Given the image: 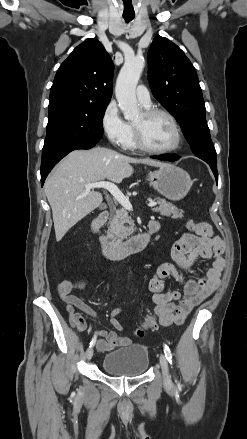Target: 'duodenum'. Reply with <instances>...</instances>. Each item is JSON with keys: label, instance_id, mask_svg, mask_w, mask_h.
<instances>
[{"label": "duodenum", "instance_id": "1", "mask_svg": "<svg viewBox=\"0 0 247 439\" xmlns=\"http://www.w3.org/2000/svg\"><path fill=\"white\" fill-rule=\"evenodd\" d=\"M107 218L108 212H103L97 216L91 223V231L97 236L103 254L111 259H120L143 250L149 244L153 233H155V227L149 223L143 232L134 235L125 242L114 243L101 232Z\"/></svg>", "mask_w": 247, "mask_h": 439}]
</instances>
